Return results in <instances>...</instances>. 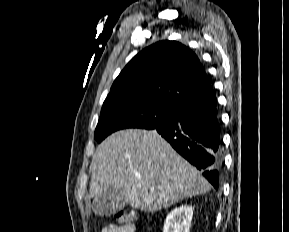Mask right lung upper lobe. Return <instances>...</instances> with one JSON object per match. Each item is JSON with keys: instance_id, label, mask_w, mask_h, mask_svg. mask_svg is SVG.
I'll list each match as a JSON object with an SVG mask.
<instances>
[{"instance_id": "right-lung-upper-lobe-1", "label": "right lung upper lobe", "mask_w": 289, "mask_h": 232, "mask_svg": "<svg viewBox=\"0 0 289 232\" xmlns=\"http://www.w3.org/2000/svg\"><path fill=\"white\" fill-rule=\"evenodd\" d=\"M135 96L179 109L216 98L196 54L176 41L157 42L139 52L115 79L106 99Z\"/></svg>"}]
</instances>
